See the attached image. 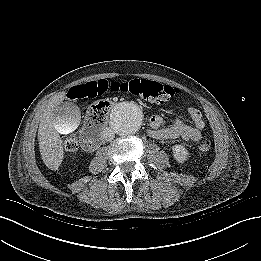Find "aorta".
I'll use <instances>...</instances> for the list:
<instances>
[{
  "label": "aorta",
  "instance_id": "aorta-1",
  "mask_svg": "<svg viewBox=\"0 0 261 261\" xmlns=\"http://www.w3.org/2000/svg\"><path fill=\"white\" fill-rule=\"evenodd\" d=\"M143 123V112L140 106L131 102L117 104L110 113V126L121 136L136 133Z\"/></svg>",
  "mask_w": 261,
  "mask_h": 261
}]
</instances>
